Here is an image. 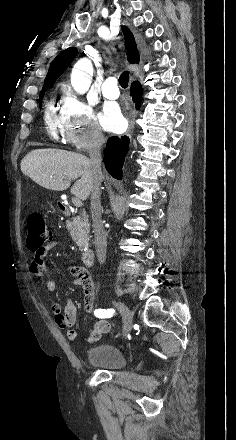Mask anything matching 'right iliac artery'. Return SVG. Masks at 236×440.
Wrapping results in <instances>:
<instances>
[{
  "label": "right iliac artery",
  "instance_id": "right-iliac-artery-1",
  "mask_svg": "<svg viewBox=\"0 0 236 440\" xmlns=\"http://www.w3.org/2000/svg\"><path fill=\"white\" fill-rule=\"evenodd\" d=\"M94 315L98 318H111L114 315L113 309H96Z\"/></svg>",
  "mask_w": 236,
  "mask_h": 440
}]
</instances>
